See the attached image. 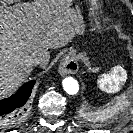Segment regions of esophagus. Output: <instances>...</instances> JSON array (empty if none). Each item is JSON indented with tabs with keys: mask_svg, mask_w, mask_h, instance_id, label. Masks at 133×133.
I'll list each match as a JSON object with an SVG mask.
<instances>
[{
	"mask_svg": "<svg viewBox=\"0 0 133 133\" xmlns=\"http://www.w3.org/2000/svg\"><path fill=\"white\" fill-rule=\"evenodd\" d=\"M78 68L79 67H78L77 62H75L73 60H65L61 64L60 74L63 76L67 75V74H73V73L77 72Z\"/></svg>",
	"mask_w": 133,
	"mask_h": 133,
	"instance_id": "esophagus-1",
	"label": "esophagus"
}]
</instances>
